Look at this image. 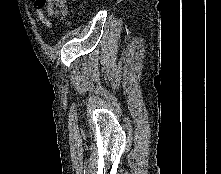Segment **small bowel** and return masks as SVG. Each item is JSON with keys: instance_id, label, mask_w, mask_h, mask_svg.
Listing matches in <instances>:
<instances>
[{"instance_id": "1", "label": "small bowel", "mask_w": 221, "mask_h": 174, "mask_svg": "<svg viewBox=\"0 0 221 174\" xmlns=\"http://www.w3.org/2000/svg\"><path fill=\"white\" fill-rule=\"evenodd\" d=\"M36 3V2H35ZM68 12L67 10H64L63 11V15L64 16H67ZM36 15H37V18L48 28H52V24L51 22L48 20V18L46 17L45 15V12H44V9L39 7L37 4H36Z\"/></svg>"}]
</instances>
